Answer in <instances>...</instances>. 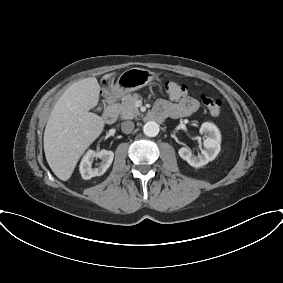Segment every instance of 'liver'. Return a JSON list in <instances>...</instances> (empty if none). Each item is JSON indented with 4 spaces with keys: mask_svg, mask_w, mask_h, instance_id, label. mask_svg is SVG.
I'll return each instance as SVG.
<instances>
[{
    "mask_svg": "<svg viewBox=\"0 0 283 283\" xmlns=\"http://www.w3.org/2000/svg\"><path fill=\"white\" fill-rule=\"evenodd\" d=\"M114 74H106L104 80ZM100 85L95 77L73 83L56 102L44 131V151L48 165L62 181H67L85 150L100 136L105 122L89 112L97 106Z\"/></svg>",
    "mask_w": 283,
    "mask_h": 283,
    "instance_id": "6515ba94",
    "label": "liver"
}]
</instances>
